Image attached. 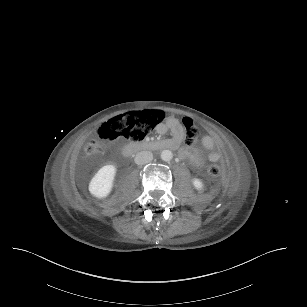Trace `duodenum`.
<instances>
[{
    "instance_id": "1",
    "label": "duodenum",
    "mask_w": 307,
    "mask_h": 307,
    "mask_svg": "<svg viewBox=\"0 0 307 307\" xmlns=\"http://www.w3.org/2000/svg\"><path fill=\"white\" fill-rule=\"evenodd\" d=\"M151 149H167L173 148V143L170 140H153L143 142H130L123 147L124 153L138 152Z\"/></svg>"
}]
</instances>
